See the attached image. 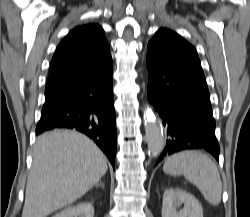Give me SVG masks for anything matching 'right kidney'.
I'll use <instances>...</instances> for the list:
<instances>
[{"instance_id":"ca27d5eb","label":"right kidney","mask_w":250,"mask_h":217,"mask_svg":"<svg viewBox=\"0 0 250 217\" xmlns=\"http://www.w3.org/2000/svg\"><path fill=\"white\" fill-rule=\"evenodd\" d=\"M52 217H94V207L89 202L69 206Z\"/></svg>"}]
</instances>
